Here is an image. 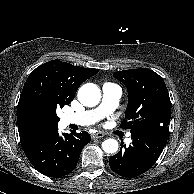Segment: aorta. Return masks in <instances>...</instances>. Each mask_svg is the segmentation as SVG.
<instances>
[{
    "instance_id": "obj_1",
    "label": "aorta",
    "mask_w": 194,
    "mask_h": 194,
    "mask_svg": "<svg viewBox=\"0 0 194 194\" xmlns=\"http://www.w3.org/2000/svg\"><path fill=\"white\" fill-rule=\"evenodd\" d=\"M100 99V89L93 83L84 84L78 91V100L84 106H96L100 102ZM102 149L108 154L115 153L118 150V141L115 139H106L102 142Z\"/></svg>"
}]
</instances>
